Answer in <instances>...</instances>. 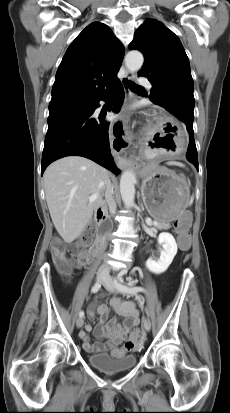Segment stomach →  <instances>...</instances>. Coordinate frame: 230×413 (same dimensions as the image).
<instances>
[{
	"mask_svg": "<svg viewBox=\"0 0 230 413\" xmlns=\"http://www.w3.org/2000/svg\"><path fill=\"white\" fill-rule=\"evenodd\" d=\"M141 195L146 210L158 222L175 220L189 201L186 179L165 167H149L142 172Z\"/></svg>",
	"mask_w": 230,
	"mask_h": 413,
	"instance_id": "1",
	"label": "stomach"
}]
</instances>
